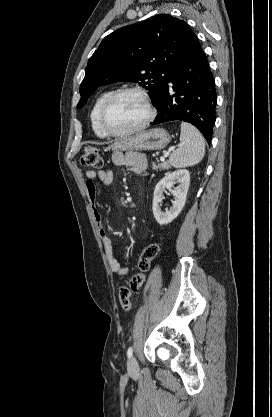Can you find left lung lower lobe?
Listing matches in <instances>:
<instances>
[{
    "mask_svg": "<svg viewBox=\"0 0 272 417\" xmlns=\"http://www.w3.org/2000/svg\"><path fill=\"white\" fill-rule=\"evenodd\" d=\"M216 91L202 48L184 60L169 76L152 123L180 120L193 124L210 142L215 123Z\"/></svg>",
    "mask_w": 272,
    "mask_h": 417,
    "instance_id": "left-lung-lower-lobe-1",
    "label": "left lung lower lobe"
}]
</instances>
